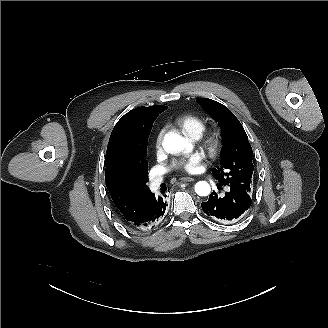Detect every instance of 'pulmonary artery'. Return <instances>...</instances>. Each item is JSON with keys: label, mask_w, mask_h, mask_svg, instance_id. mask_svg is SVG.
I'll return each mask as SVG.
<instances>
[{"label": "pulmonary artery", "mask_w": 328, "mask_h": 328, "mask_svg": "<svg viewBox=\"0 0 328 328\" xmlns=\"http://www.w3.org/2000/svg\"><path fill=\"white\" fill-rule=\"evenodd\" d=\"M160 182H161V179L160 178L153 177V178L150 179V186L152 188H156L160 184Z\"/></svg>", "instance_id": "e3ab8cb5"}]
</instances>
